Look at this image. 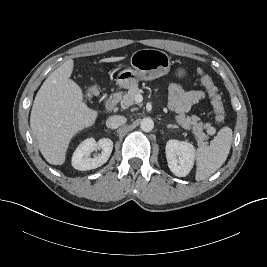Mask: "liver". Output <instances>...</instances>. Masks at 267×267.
Returning a JSON list of instances; mask_svg holds the SVG:
<instances>
[{"label":"liver","mask_w":267,"mask_h":267,"mask_svg":"<svg viewBox=\"0 0 267 267\" xmlns=\"http://www.w3.org/2000/svg\"><path fill=\"white\" fill-rule=\"evenodd\" d=\"M123 57H110L101 62H117ZM73 60H67L44 81L31 110L30 126L38 148L46 161L62 165L71 139L91 127L98 112L83 102L81 87L70 79Z\"/></svg>","instance_id":"liver-1"}]
</instances>
